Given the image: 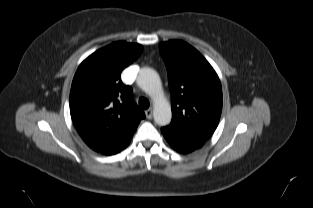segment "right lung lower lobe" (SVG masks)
Returning <instances> with one entry per match:
<instances>
[{"label": "right lung lower lobe", "instance_id": "right-lung-lower-lobe-1", "mask_svg": "<svg viewBox=\"0 0 313 208\" xmlns=\"http://www.w3.org/2000/svg\"><path fill=\"white\" fill-rule=\"evenodd\" d=\"M132 137L118 140L108 138H83L86 144L93 150L105 155H113L124 149L130 142Z\"/></svg>", "mask_w": 313, "mask_h": 208}]
</instances>
